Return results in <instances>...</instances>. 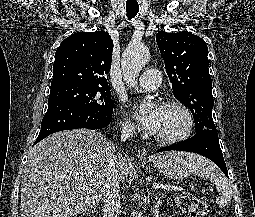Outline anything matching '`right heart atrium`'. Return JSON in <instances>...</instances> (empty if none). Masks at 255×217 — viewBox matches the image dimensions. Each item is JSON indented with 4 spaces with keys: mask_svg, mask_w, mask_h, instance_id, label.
Returning a JSON list of instances; mask_svg holds the SVG:
<instances>
[{
    "mask_svg": "<svg viewBox=\"0 0 255 217\" xmlns=\"http://www.w3.org/2000/svg\"><path fill=\"white\" fill-rule=\"evenodd\" d=\"M134 128H135V127H134V124H133L130 120L125 119V120L123 121V131H124L125 133H127V134L133 133Z\"/></svg>",
    "mask_w": 255,
    "mask_h": 217,
    "instance_id": "obj_1",
    "label": "right heart atrium"
}]
</instances>
